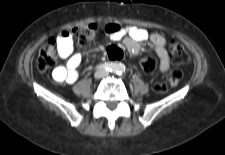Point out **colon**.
<instances>
[{
    "label": "colon",
    "instance_id": "1",
    "mask_svg": "<svg viewBox=\"0 0 225 155\" xmlns=\"http://www.w3.org/2000/svg\"><path fill=\"white\" fill-rule=\"evenodd\" d=\"M112 28L108 25L102 26L99 23H92L88 25L77 26L73 28L71 37L75 38L78 45L81 47L89 46L96 36L104 31L105 33ZM57 43L55 38L48 39L40 48L36 59V67L38 70L44 72L50 69L57 59ZM106 53L112 60H118L123 58L121 49L115 43H110L106 47ZM170 59L173 64L180 65L186 63L189 59V55L182 44L177 41H171L170 43ZM142 70L144 72H153L155 70L154 61L146 57L141 62ZM182 77V71L178 68L173 69L166 77L164 81H159L154 85V90L157 93H166L171 87L178 84Z\"/></svg>",
    "mask_w": 225,
    "mask_h": 155
}]
</instances>
